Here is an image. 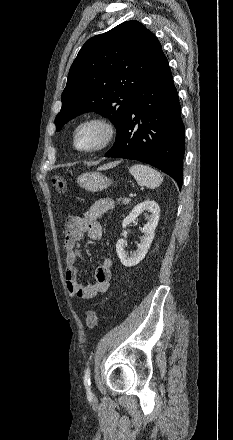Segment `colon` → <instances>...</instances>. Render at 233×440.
<instances>
[{
    "instance_id": "colon-1",
    "label": "colon",
    "mask_w": 233,
    "mask_h": 440,
    "mask_svg": "<svg viewBox=\"0 0 233 440\" xmlns=\"http://www.w3.org/2000/svg\"><path fill=\"white\" fill-rule=\"evenodd\" d=\"M51 186H52L53 190H55L57 192H60V193L64 192L65 186H66L65 178L61 175H55L51 179ZM97 322H98L97 312L94 310H90L86 315L87 326L89 328H93L96 326Z\"/></svg>"
}]
</instances>
